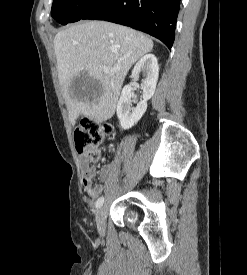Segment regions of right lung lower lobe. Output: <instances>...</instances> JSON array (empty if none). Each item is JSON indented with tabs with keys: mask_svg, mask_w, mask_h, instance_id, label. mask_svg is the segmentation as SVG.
Wrapping results in <instances>:
<instances>
[{
	"mask_svg": "<svg viewBox=\"0 0 247 275\" xmlns=\"http://www.w3.org/2000/svg\"><path fill=\"white\" fill-rule=\"evenodd\" d=\"M180 0H102L82 19L130 26L161 40L171 49Z\"/></svg>",
	"mask_w": 247,
	"mask_h": 275,
	"instance_id": "obj_1",
	"label": "right lung lower lobe"
}]
</instances>
